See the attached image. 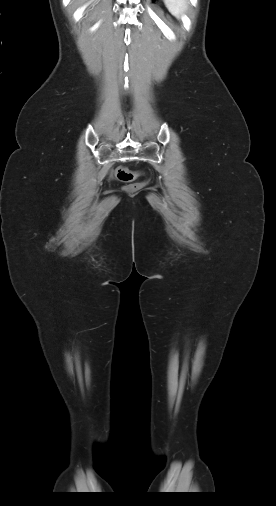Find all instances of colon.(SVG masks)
<instances>
[{
	"instance_id": "1",
	"label": "colon",
	"mask_w": 276,
	"mask_h": 506,
	"mask_svg": "<svg viewBox=\"0 0 276 506\" xmlns=\"http://www.w3.org/2000/svg\"><path fill=\"white\" fill-rule=\"evenodd\" d=\"M138 176L137 172H130L126 167L119 166L116 168V177L119 181L128 183L126 186L128 191H138L144 185L143 183H131Z\"/></svg>"
}]
</instances>
